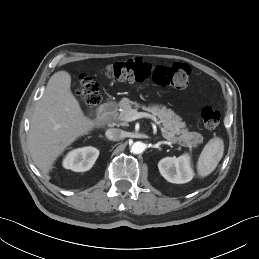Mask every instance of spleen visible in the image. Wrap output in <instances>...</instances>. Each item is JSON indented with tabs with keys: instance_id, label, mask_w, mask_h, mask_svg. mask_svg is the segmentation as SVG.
<instances>
[{
	"instance_id": "1",
	"label": "spleen",
	"mask_w": 259,
	"mask_h": 259,
	"mask_svg": "<svg viewBox=\"0 0 259 259\" xmlns=\"http://www.w3.org/2000/svg\"><path fill=\"white\" fill-rule=\"evenodd\" d=\"M224 152L223 140L215 137L204 146L197 162V171L200 177L211 174L220 162Z\"/></svg>"
}]
</instances>
